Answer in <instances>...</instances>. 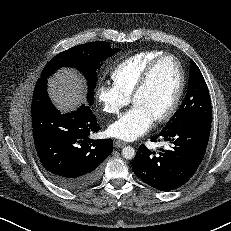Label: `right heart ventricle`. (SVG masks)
Listing matches in <instances>:
<instances>
[{
  "mask_svg": "<svg viewBox=\"0 0 231 231\" xmlns=\"http://www.w3.org/2000/svg\"><path fill=\"white\" fill-rule=\"evenodd\" d=\"M162 53V51L151 50L127 58L112 72L113 84L130 98L146 66Z\"/></svg>",
  "mask_w": 231,
  "mask_h": 231,
  "instance_id": "right-heart-ventricle-1",
  "label": "right heart ventricle"
}]
</instances>
